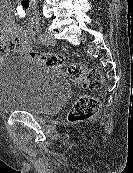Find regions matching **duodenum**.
Returning a JSON list of instances; mask_svg holds the SVG:
<instances>
[{
    "label": "duodenum",
    "instance_id": "obj_1",
    "mask_svg": "<svg viewBox=\"0 0 133 173\" xmlns=\"http://www.w3.org/2000/svg\"><path fill=\"white\" fill-rule=\"evenodd\" d=\"M25 3H26V5H31L32 4V0H23Z\"/></svg>",
    "mask_w": 133,
    "mask_h": 173
}]
</instances>
